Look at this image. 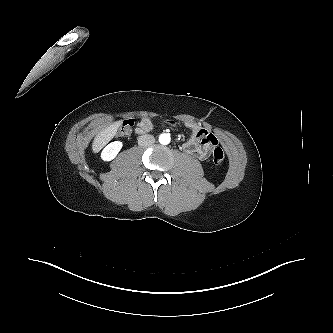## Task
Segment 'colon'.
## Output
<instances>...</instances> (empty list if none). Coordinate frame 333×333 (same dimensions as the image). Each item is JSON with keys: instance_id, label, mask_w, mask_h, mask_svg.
<instances>
[{"instance_id": "obj_1", "label": "colon", "mask_w": 333, "mask_h": 333, "mask_svg": "<svg viewBox=\"0 0 333 333\" xmlns=\"http://www.w3.org/2000/svg\"><path fill=\"white\" fill-rule=\"evenodd\" d=\"M134 122L133 120H126L120 126L117 135L119 137H128L132 134ZM212 161L215 165L222 164L225 156L224 152L220 147L215 146L211 155Z\"/></svg>"}]
</instances>
